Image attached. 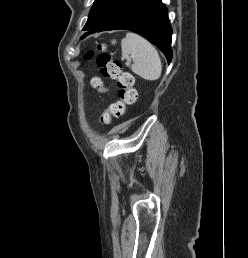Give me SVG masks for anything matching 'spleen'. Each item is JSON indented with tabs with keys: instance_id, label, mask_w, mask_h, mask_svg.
<instances>
[{
	"instance_id": "spleen-1",
	"label": "spleen",
	"mask_w": 248,
	"mask_h": 258,
	"mask_svg": "<svg viewBox=\"0 0 248 258\" xmlns=\"http://www.w3.org/2000/svg\"><path fill=\"white\" fill-rule=\"evenodd\" d=\"M122 57L132 72L148 81L160 78L162 64L160 56L153 45L136 33L129 32L121 41ZM133 61V64H131Z\"/></svg>"
}]
</instances>
